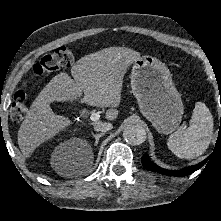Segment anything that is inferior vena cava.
I'll return each instance as SVG.
<instances>
[{"label":"inferior vena cava","instance_id":"602c4592","mask_svg":"<svg viewBox=\"0 0 221 221\" xmlns=\"http://www.w3.org/2000/svg\"><path fill=\"white\" fill-rule=\"evenodd\" d=\"M113 128L109 122H97L94 124V130L100 132H107Z\"/></svg>","mask_w":221,"mask_h":221}]
</instances>
